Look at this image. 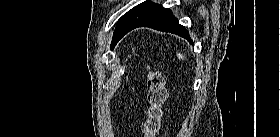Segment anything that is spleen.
Here are the masks:
<instances>
[{
  "mask_svg": "<svg viewBox=\"0 0 280 137\" xmlns=\"http://www.w3.org/2000/svg\"><path fill=\"white\" fill-rule=\"evenodd\" d=\"M177 57L181 60H184L185 59V56L181 53H177Z\"/></svg>",
  "mask_w": 280,
  "mask_h": 137,
  "instance_id": "spleen-1",
  "label": "spleen"
}]
</instances>
